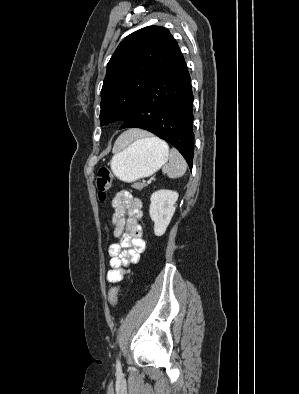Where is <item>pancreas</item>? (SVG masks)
I'll return each mask as SVG.
<instances>
[{
  "label": "pancreas",
  "mask_w": 299,
  "mask_h": 394,
  "mask_svg": "<svg viewBox=\"0 0 299 394\" xmlns=\"http://www.w3.org/2000/svg\"><path fill=\"white\" fill-rule=\"evenodd\" d=\"M146 186H147V184H145V183H135V184H133L132 187L135 189H138V190H142Z\"/></svg>",
  "instance_id": "obj_1"
}]
</instances>
